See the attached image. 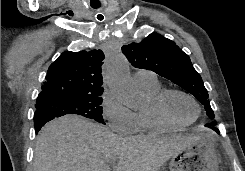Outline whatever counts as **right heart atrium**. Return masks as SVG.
I'll return each mask as SVG.
<instances>
[{
	"label": "right heart atrium",
	"mask_w": 245,
	"mask_h": 171,
	"mask_svg": "<svg viewBox=\"0 0 245 171\" xmlns=\"http://www.w3.org/2000/svg\"><path fill=\"white\" fill-rule=\"evenodd\" d=\"M102 116L109 128L122 135L138 130L136 113L125 107L112 93L106 92L102 101Z\"/></svg>",
	"instance_id": "obj_1"
}]
</instances>
